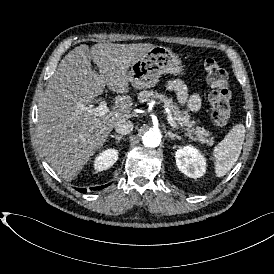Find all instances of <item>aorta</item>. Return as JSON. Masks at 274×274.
I'll use <instances>...</instances> for the list:
<instances>
[{
    "label": "aorta",
    "mask_w": 274,
    "mask_h": 274,
    "mask_svg": "<svg viewBox=\"0 0 274 274\" xmlns=\"http://www.w3.org/2000/svg\"><path fill=\"white\" fill-rule=\"evenodd\" d=\"M142 142L147 147H157L161 142V134L158 130H149L143 135Z\"/></svg>",
    "instance_id": "obj_1"
}]
</instances>
